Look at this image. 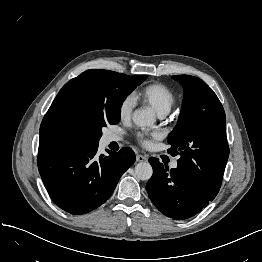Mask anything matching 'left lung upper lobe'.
Masks as SVG:
<instances>
[{
    "label": "left lung upper lobe",
    "mask_w": 262,
    "mask_h": 262,
    "mask_svg": "<svg viewBox=\"0 0 262 262\" xmlns=\"http://www.w3.org/2000/svg\"><path fill=\"white\" fill-rule=\"evenodd\" d=\"M172 78L183 86L184 99L178 123L168 136V152L179 154L177 168L216 197L229 156L223 106L201 79L189 75Z\"/></svg>",
    "instance_id": "left-lung-upper-lobe-1"
}]
</instances>
